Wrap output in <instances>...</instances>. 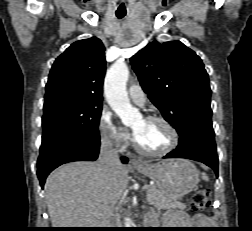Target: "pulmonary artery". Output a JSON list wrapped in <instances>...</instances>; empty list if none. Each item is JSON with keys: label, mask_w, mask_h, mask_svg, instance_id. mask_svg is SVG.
I'll return each instance as SVG.
<instances>
[{"label": "pulmonary artery", "mask_w": 252, "mask_h": 231, "mask_svg": "<svg viewBox=\"0 0 252 231\" xmlns=\"http://www.w3.org/2000/svg\"><path fill=\"white\" fill-rule=\"evenodd\" d=\"M128 94L131 100L138 104L143 105L146 100V96L142 88L138 84H132L128 87Z\"/></svg>", "instance_id": "pulmonary-artery-1"}]
</instances>
